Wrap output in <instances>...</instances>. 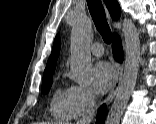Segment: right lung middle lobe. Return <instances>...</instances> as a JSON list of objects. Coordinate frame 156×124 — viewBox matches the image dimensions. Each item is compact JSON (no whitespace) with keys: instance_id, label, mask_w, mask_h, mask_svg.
<instances>
[{"instance_id":"1","label":"right lung middle lobe","mask_w":156,"mask_h":124,"mask_svg":"<svg viewBox=\"0 0 156 124\" xmlns=\"http://www.w3.org/2000/svg\"><path fill=\"white\" fill-rule=\"evenodd\" d=\"M52 75H49V76H44L43 77V84H42V87H41V90L43 93H47L52 85V78H51Z\"/></svg>"}]
</instances>
